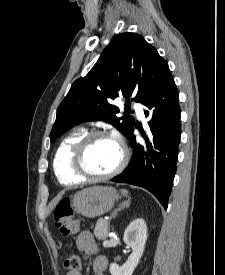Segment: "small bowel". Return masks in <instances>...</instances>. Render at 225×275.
Wrapping results in <instances>:
<instances>
[{"label": "small bowel", "instance_id": "small-bowel-1", "mask_svg": "<svg viewBox=\"0 0 225 275\" xmlns=\"http://www.w3.org/2000/svg\"><path fill=\"white\" fill-rule=\"evenodd\" d=\"M76 246L80 251L93 256L92 270L94 275H105L108 261L106 257L98 255V246L93 235L88 231L79 234ZM66 275H81L79 271H69Z\"/></svg>", "mask_w": 225, "mask_h": 275}]
</instances>
